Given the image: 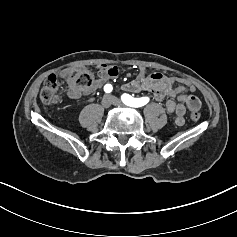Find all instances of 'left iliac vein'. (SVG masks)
<instances>
[{"instance_id": "left-iliac-vein-1", "label": "left iliac vein", "mask_w": 237, "mask_h": 237, "mask_svg": "<svg viewBox=\"0 0 237 237\" xmlns=\"http://www.w3.org/2000/svg\"><path fill=\"white\" fill-rule=\"evenodd\" d=\"M111 97V100H112V104L115 105V106H120V107H123L124 104L123 102L118 99V98H115L114 96H110Z\"/></svg>"}]
</instances>
